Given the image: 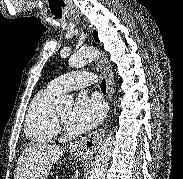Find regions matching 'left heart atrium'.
<instances>
[{"label":"left heart atrium","mask_w":183,"mask_h":179,"mask_svg":"<svg viewBox=\"0 0 183 179\" xmlns=\"http://www.w3.org/2000/svg\"><path fill=\"white\" fill-rule=\"evenodd\" d=\"M104 116V106L97 98L80 95L71 111L67 124L76 132H87L96 127Z\"/></svg>","instance_id":"39dd6f15"}]
</instances>
